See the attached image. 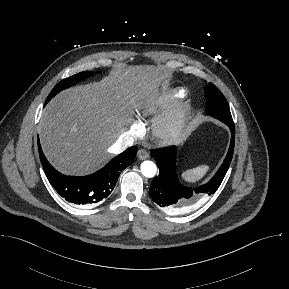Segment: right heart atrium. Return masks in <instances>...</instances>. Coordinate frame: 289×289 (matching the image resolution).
Instances as JSON below:
<instances>
[{"label":"right heart atrium","instance_id":"obj_1","mask_svg":"<svg viewBox=\"0 0 289 289\" xmlns=\"http://www.w3.org/2000/svg\"><path fill=\"white\" fill-rule=\"evenodd\" d=\"M138 132H139V126L137 124L132 125L130 128V133L133 135H136L138 134Z\"/></svg>","mask_w":289,"mask_h":289}]
</instances>
